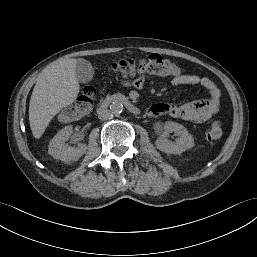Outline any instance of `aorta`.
Masks as SVG:
<instances>
[{
    "instance_id": "762f6f07",
    "label": "aorta",
    "mask_w": 257,
    "mask_h": 257,
    "mask_svg": "<svg viewBox=\"0 0 257 257\" xmlns=\"http://www.w3.org/2000/svg\"><path fill=\"white\" fill-rule=\"evenodd\" d=\"M110 110L112 114L118 115L123 111V104L121 102L115 101L110 105Z\"/></svg>"
}]
</instances>
